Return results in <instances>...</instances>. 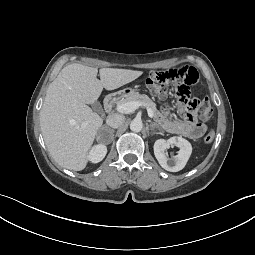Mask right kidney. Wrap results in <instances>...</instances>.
<instances>
[{
    "label": "right kidney",
    "instance_id": "right-kidney-1",
    "mask_svg": "<svg viewBox=\"0 0 255 255\" xmlns=\"http://www.w3.org/2000/svg\"><path fill=\"white\" fill-rule=\"evenodd\" d=\"M107 153V147L104 144H98L92 147L89 152L88 159L92 163H98L104 159Z\"/></svg>",
    "mask_w": 255,
    "mask_h": 255
}]
</instances>
